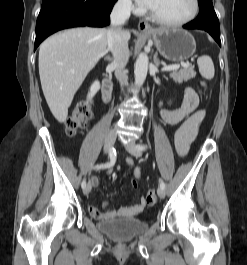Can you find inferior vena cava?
<instances>
[{"label":"inferior vena cava","instance_id":"602c4592","mask_svg":"<svg viewBox=\"0 0 247 265\" xmlns=\"http://www.w3.org/2000/svg\"><path fill=\"white\" fill-rule=\"evenodd\" d=\"M131 8V0H118L110 15L111 26L107 34L108 49L114 57L112 66L121 86L127 83L124 68L129 59L128 39L122 25L129 19Z\"/></svg>","mask_w":247,"mask_h":265}]
</instances>
